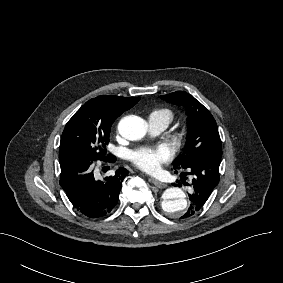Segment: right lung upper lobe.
Masks as SVG:
<instances>
[{
	"label": "right lung upper lobe",
	"instance_id": "obj_1",
	"mask_svg": "<svg viewBox=\"0 0 283 283\" xmlns=\"http://www.w3.org/2000/svg\"><path fill=\"white\" fill-rule=\"evenodd\" d=\"M98 97L112 99V98L118 97V96H105V95H101V96H98Z\"/></svg>",
	"mask_w": 283,
	"mask_h": 283
}]
</instances>
